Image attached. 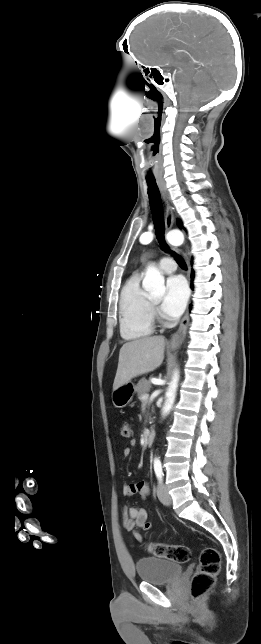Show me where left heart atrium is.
I'll list each match as a JSON object with an SVG mask.
<instances>
[{"mask_svg": "<svg viewBox=\"0 0 261 644\" xmlns=\"http://www.w3.org/2000/svg\"><path fill=\"white\" fill-rule=\"evenodd\" d=\"M188 299L185 280L180 276H171L166 282V293L161 310L167 317L176 318L182 314Z\"/></svg>", "mask_w": 261, "mask_h": 644, "instance_id": "obj_1", "label": "left heart atrium"}]
</instances>
